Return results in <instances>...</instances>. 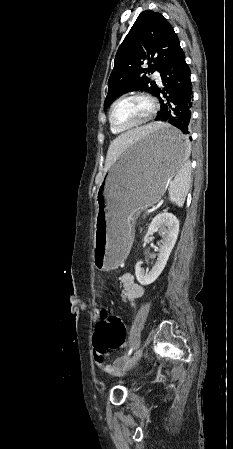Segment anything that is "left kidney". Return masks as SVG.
I'll use <instances>...</instances> for the list:
<instances>
[{"mask_svg":"<svg viewBox=\"0 0 233 449\" xmlns=\"http://www.w3.org/2000/svg\"><path fill=\"white\" fill-rule=\"evenodd\" d=\"M156 231H159V233L162 234L163 242L154 267L150 271L146 272L141 267V262H137L135 267L136 278L143 286L153 283L165 268L178 237L179 221L176 216L168 212H163L156 215L149 225L148 231L144 237V242Z\"/></svg>","mask_w":233,"mask_h":449,"instance_id":"left-kidney-1","label":"left kidney"}]
</instances>
